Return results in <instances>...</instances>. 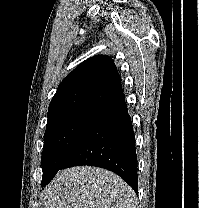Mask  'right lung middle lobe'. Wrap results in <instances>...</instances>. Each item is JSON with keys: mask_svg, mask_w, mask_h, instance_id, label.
<instances>
[{"mask_svg": "<svg viewBox=\"0 0 199 208\" xmlns=\"http://www.w3.org/2000/svg\"><path fill=\"white\" fill-rule=\"evenodd\" d=\"M99 110V107L75 108L48 118L42 153V182L60 170Z\"/></svg>", "mask_w": 199, "mask_h": 208, "instance_id": "1", "label": "right lung middle lobe"}]
</instances>
